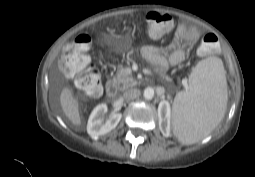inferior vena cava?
<instances>
[{
	"instance_id": "1",
	"label": "inferior vena cava",
	"mask_w": 255,
	"mask_h": 177,
	"mask_svg": "<svg viewBox=\"0 0 255 177\" xmlns=\"http://www.w3.org/2000/svg\"><path fill=\"white\" fill-rule=\"evenodd\" d=\"M140 96L139 89H129L124 92L123 97L125 100L130 101L138 98Z\"/></svg>"
}]
</instances>
